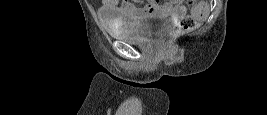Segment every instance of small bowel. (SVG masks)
Masks as SVG:
<instances>
[{"mask_svg":"<svg viewBox=\"0 0 267 115\" xmlns=\"http://www.w3.org/2000/svg\"><path fill=\"white\" fill-rule=\"evenodd\" d=\"M117 7L122 15L128 19L134 20L145 14H161V15H180L184 7L179 1L165 2L160 4L156 1H149L138 7L134 2H123L120 5L114 0H103L102 9L108 10Z\"/></svg>","mask_w":267,"mask_h":115,"instance_id":"small-bowel-1","label":"small bowel"}]
</instances>
